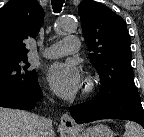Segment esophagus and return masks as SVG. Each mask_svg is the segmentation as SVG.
Instances as JSON below:
<instances>
[{
	"label": "esophagus",
	"instance_id": "34e87169",
	"mask_svg": "<svg viewBox=\"0 0 144 137\" xmlns=\"http://www.w3.org/2000/svg\"><path fill=\"white\" fill-rule=\"evenodd\" d=\"M61 126L66 132H72L78 127L74 118L68 113L62 115Z\"/></svg>",
	"mask_w": 144,
	"mask_h": 137
}]
</instances>
